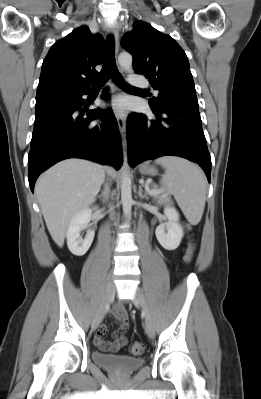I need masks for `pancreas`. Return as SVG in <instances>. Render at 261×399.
I'll return each instance as SVG.
<instances>
[{"mask_svg":"<svg viewBox=\"0 0 261 399\" xmlns=\"http://www.w3.org/2000/svg\"><path fill=\"white\" fill-rule=\"evenodd\" d=\"M152 190H159L157 189V185L156 184H152ZM159 194L154 195V197L158 198L161 201H169V198L165 197V196H158Z\"/></svg>","mask_w":261,"mask_h":399,"instance_id":"cf45deb5","label":"pancreas"}]
</instances>
